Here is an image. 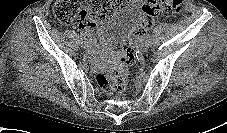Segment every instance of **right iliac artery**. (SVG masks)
Wrapping results in <instances>:
<instances>
[{
  "label": "right iliac artery",
  "instance_id": "1",
  "mask_svg": "<svg viewBox=\"0 0 227 133\" xmlns=\"http://www.w3.org/2000/svg\"><path fill=\"white\" fill-rule=\"evenodd\" d=\"M81 40L85 39L84 34L81 32L80 33Z\"/></svg>",
  "mask_w": 227,
  "mask_h": 133
}]
</instances>
